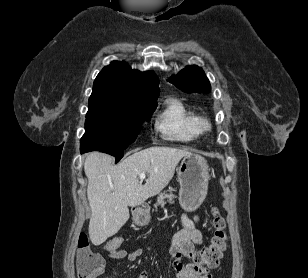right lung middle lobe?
I'll use <instances>...</instances> for the list:
<instances>
[{
  "mask_svg": "<svg viewBox=\"0 0 308 278\" xmlns=\"http://www.w3.org/2000/svg\"><path fill=\"white\" fill-rule=\"evenodd\" d=\"M156 106L157 102H154L127 116L86 118L80 151H102L115 156L117 163L123 157L124 149L136 139L137 128L144 120H150Z\"/></svg>",
  "mask_w": 308,
  "mask_h": 278,
  "instance_id": "right-lung-middle-lobe-1",
  "label": "right lung middle lobe"
}]
</instances>
